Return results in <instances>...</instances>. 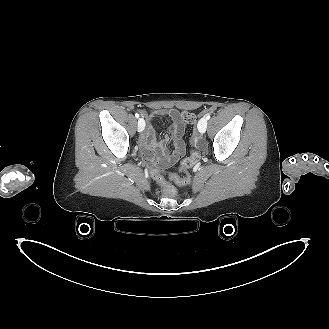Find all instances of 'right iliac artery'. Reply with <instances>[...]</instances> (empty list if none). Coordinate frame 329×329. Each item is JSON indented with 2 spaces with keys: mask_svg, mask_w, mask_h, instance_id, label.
<instances>
[{
  "mask_svg": "<svg viewBox=\"0 0 329 329\" xmlns=\"http://www.w3.org/2000/svg\"><path fill=\"white\" fill-rule=\"evenodd\" d=\"M135 117H136V118H139V114H138V113H135Z\"/></svg>",
  "mask_w": 329,
  "mask_h": 329,
  "instance_id": "obj_1",
  "label": "right iliac artery"
}]
</instances>
